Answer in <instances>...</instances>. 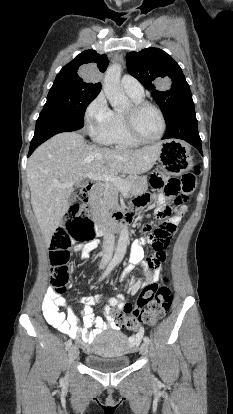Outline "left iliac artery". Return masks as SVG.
I'll list each match as a JSON object with an SVG mask.
<instances>
[{
	"label": "left iliac artery",
	"instance_id": "left-iliac-artery-1",
	"mask_svg": "<svg viewBox=\"0 0 233 414\" xmlns=\"http://www.w3.org/2000/svg\"><path fill=\"white\" fill-rule=\"evenodd\" d=\"M144 342L147 343V344H150V339H149L148 336H145L144 337Z\"/></svg>",
	"mask_w": 233,
	"mask_h": 414
}]
</instances>
